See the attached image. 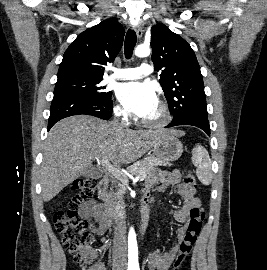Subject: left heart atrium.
<instances>
[{"instance_id":"1","label":"left heart atrium","mask_w":267,"mask_h":270,"mask_svg":"<svg viewBox=\"0 0 267 270\" xmlns=\"http://www.w3.org/2000/svg\"><path fill=\"white\" fill-rule=\"evenodd\" d=\"M117 96L128 111L139 117H146L158 105L156 92L149 83H123L117 89Z\"/></svg>"}]
</instances>
